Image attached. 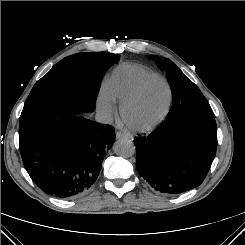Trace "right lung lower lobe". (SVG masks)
Returning a JSON list of instances; mask_svg holds the SVG:
<instances>
[{"label":"right lung lower lobe","mask_w":245,"mask_h":245,"mask_svg":"<svg viewBox=\"0 0 245 245\" xmlns=\"http://www.w3.org/2000/svg\"><path fill=\"white\" fill-rule=\"evenodd\" d=\"M90 80L101 82L102 64L95 56L78 59ZM114 128L81 115L58 120L19 136L23 164L34 183L57 198H74L95 183Z\"/></svg>","instance_id":"98d812e1"}]
</instances>
